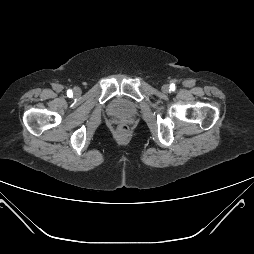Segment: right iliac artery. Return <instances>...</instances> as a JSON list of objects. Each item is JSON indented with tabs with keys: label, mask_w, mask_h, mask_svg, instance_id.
<instances>
[{
	"label": "right iliac artery",
	"mask_w": 254,
	"mask_h": 254,
	"mask_svg": "<svg viewBox=\"0 0 254 254\" xmlns=\"http://www.w3.org/2000/svg\"><path fill=\"white\" fill-rule=\"evenodd\" d=\"M67 95L70 97L72 95V90H68Z\"/></svg>",
	"instance_id": "right-iliac-artery-1"
}]
</instances>
